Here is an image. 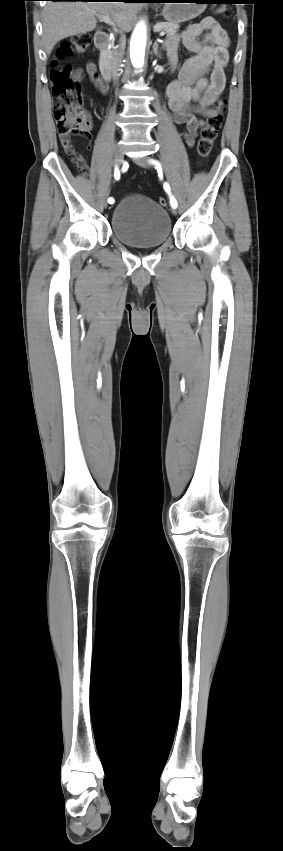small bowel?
Here are the masks:
<instances>
[{"label": "small bowel", "mask_w": 283, "mask_h": 851, "mask_svg": "<svg viewBox=\"0 0 283 851\" xmlns=\"http://www.w3.org/2000/svg\"><path fill=\"white\" fill-rule=\"evenodd\" d=\"M230 41L227 32L212 17L191 24L181 34L170 36L165 42L168 59L172 67L176 65L177 49L183 45L194 53L181 67L178 79L166 89L168 107L173 122L183 127V137L192 147L198 130L203 124L202 118L213 113L220 101L225 87V67L229 61ZM85 72L92 80L99 94L110 91L109 82L97 71L94 63L85 66ZM83 70H77L75 79L79 81ZM90 138V137H89ZM65 152L71 157L77 154L70 139L62 140ZM85 168L86 162L82 157Z\"/></svg>", "instance_id": "obj_1"}]
</instances>
